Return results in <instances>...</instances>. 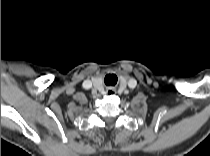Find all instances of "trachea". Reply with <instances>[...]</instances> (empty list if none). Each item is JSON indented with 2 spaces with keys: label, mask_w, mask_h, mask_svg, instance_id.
Segmentation results:
<instances>
[{
  "label": "trachea",
  "mask_w": 210,
  "mask_h": 156,
  "mask_svg": "<svg viewBox=\"0 0 210 156\" xmlns=\"http://www.w3.org/2000/svg\"><path fill=\"white\" fill-rule=\"evenodd\" d=\"M105 84L115 86L117 83V76L115 74H108L104 79Z\"/></svg>",
  "instance_id": "3493384b"
}]
</instances>
